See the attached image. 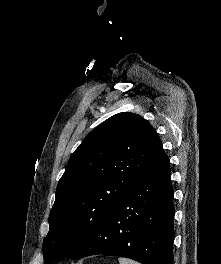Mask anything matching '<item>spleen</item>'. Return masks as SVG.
I'll list each match as a JSON object with an SVG mask.
<instances>
[{
  "label": "spleen",
  "instance_id": "1",
  "mask_svg": "<svg viewBox=\"0 0 221 264\" xmlns=\"http://www.w3.org/2000/svg\"><path fill=\"white\" fill-rule=\"evenodd\" d=\"M118 261H119L120 264H139V263H137V262H135V261H133V260L126 259V258H124V257H120V258L118 259Z\"/></svg>",
  "mask_w": 221,
  "mask_h": 264
}]
</instances>
